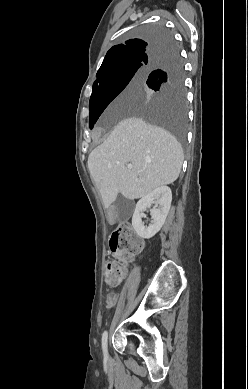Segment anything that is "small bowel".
<instances>
[{
    "label": "small bowel",
    "instance_id": "c3829d8e",
    "mask_svg": "<svg viewBox=\"0 0 248 389\" xmlns=\"http://www.w3.org/2000/svg\"><path fill=\"white\" fill-rule=\"evenodd\" d=\"M118 302V294L115 293V292H110L108 295H107V298H106V306L107 308H112L114 307Z\"/></svg>",
    "mask_w": 248,
    "mask_h": 389
}]
</instances>
